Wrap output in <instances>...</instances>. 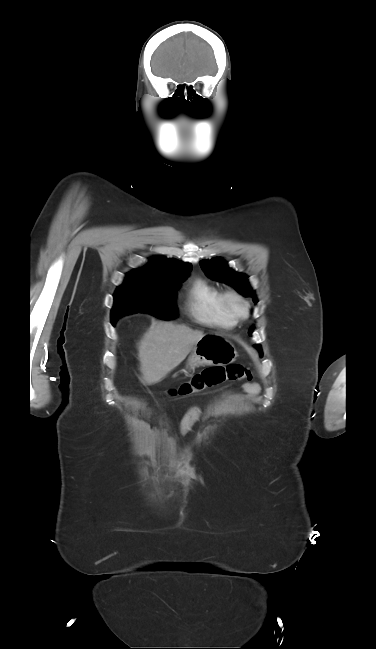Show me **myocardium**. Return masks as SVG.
Instances as JSON below:
<instances>
[{"label": "myocardium", "mask_w": 376, "mask_h": 649, "mask_svg": "<svg viewBox=\"0 0 376 649\" xmlns=\"http://www.w3.org/2000/svg\"><path fill=\"white\" fill-rule=\"evenodd\" d=\"M223 301L227 311L237 320L247 317L249 303L240 293L229 290L223 293Z\"/></svg>", "instance_id": "f54148a6"}]
</instances>
